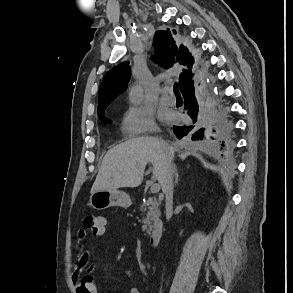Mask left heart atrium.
<instances>
[{
  "mask_svg": "<svg viewBox=\"0 0 293 293\" xmlns=\"http://www.w3.org/2000/svg\"><path fill=\"white\" fill-rule=\"evenodd\" d=\"M161 117H162L163 120H166V121H170V120L175 119V116L172 113H169V112H163L161 114Z\"/></svg>",
  "mask_w": 293,
  "mask_h": 293,
  "instance_id": "left-heart-atrium-1",
  "label": "left heart atrium"
}]
</instances>
